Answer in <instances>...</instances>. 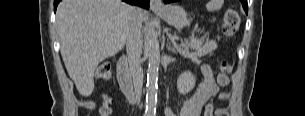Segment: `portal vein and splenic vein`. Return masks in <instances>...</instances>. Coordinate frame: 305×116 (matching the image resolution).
Here are the masks:
<instances>
[{
    "instance_id": "obj_1",
    "label": "portal vein and splenic vein",
    "mask_w": 305,
    "mask_h": 116,
    "mask_svg": "<svg viewBox=\"0 0 305 116\" xmlns=\"http://www.w3.org/2000/svg\"><path fill=\"white\" fill-rule=\"evenodd\" d=\"M171 39H172V41H174V40H175V37H172Z\"/></svg>"
}]
</instances>
